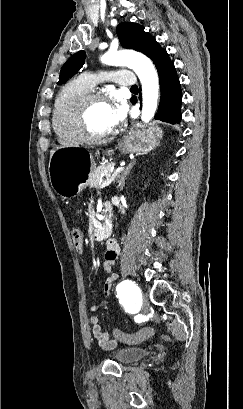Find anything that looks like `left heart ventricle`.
<instances>
[{
	"instance_id": "left-heart-ventricle-1",
	"label": "left heart ventricle",
	"mask_w": 243,
	"mask_h": 409,
	"mask_svg": "<svg viewBox=\"0 0 243 409\" xmlns=\"http://www.w3.org/2000/svg\"><path fill=\"white\" fill-rule=\"evenodd\" d=\"M111 105L108 102H93L86 114L89 131L95 135L108 133L112 130L110 123Z\"/></svg>"
}]
</instances>
